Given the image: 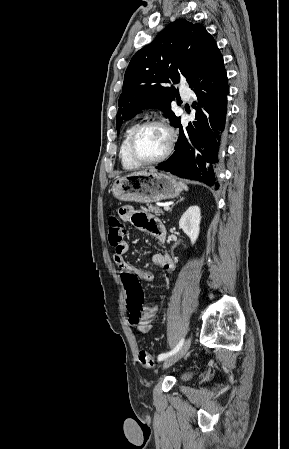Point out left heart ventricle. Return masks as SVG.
Segmentation results:
<instances>
[{"instance_id":"left-heart-ventricle-1","label":"left heart ventricle","mask_w":289,"mask_h":449,"mask_svg":"<svg viewBox=\"0 0 289 449\" xmlns=\"http://www.w3.org/2000/svg\"><path fill=\"white\" fill-rule=\"evenodd\" d=\"M167 134L159 126H148L137 136L135 149L142 160H152L163 154L167 147Z\"/></svg>"}]
</instances>
